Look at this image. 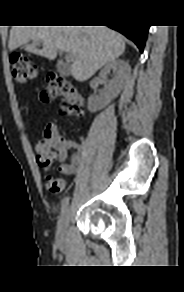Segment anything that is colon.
<instances>
[{
	"label": "colon",
	"mask_w": 184,
	"mask_h": 292,
	"mask_svg": "<svg viewBox=\"0 0 184 292\" xmlns=\"http://www.w3.org/2000/svg\"><path fill=\"white\" fill-rule=\"evenodd\" d=\"M14 80L25 84L36 77V67L22 55H12L10 58ZM60 99L59 111L64 116L81 117L84 113V99L79 88L69 79L58 73H50L46 78V87L40 94L42 102ZM53 125H46L39 133L36 144V161L46 171H51L55 152L50 139ZM46 189L51 193H59L64 188L61 178L48 175L45 180Z\"/></svg>",
	"instance_id": "obj_1"
}]
</instances>
